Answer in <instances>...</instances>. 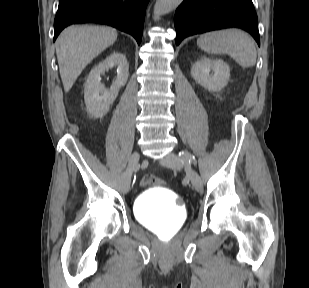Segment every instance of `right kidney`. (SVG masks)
I'll return each instance as SVG.
<instances>
[{"label":"right kidney","instance_id":"1","mask_svg":"<svg viewBox=\"0 0 309 288\" xmlns=\"http://www.w3.org/2000/svg\"><path fill=\"white\" fill-rule=\"evenodd\" d=\"M117 66V76L110 89L101 83V74ZM129 64L126 57L118 52L110 54L89 73L85 88L84 100L87 112L95 117H102L118 96L119 90L128 80Z\"/></svg>","mask_w":309,"mask_h":288}]
</instances>
